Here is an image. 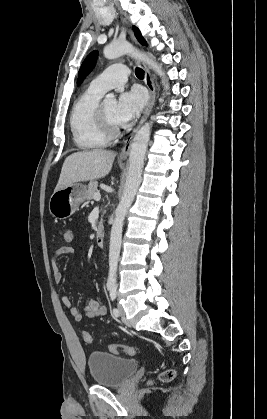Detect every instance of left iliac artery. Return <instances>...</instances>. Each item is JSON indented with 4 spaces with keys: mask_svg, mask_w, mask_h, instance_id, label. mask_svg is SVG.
I'll return each instance as SVG.
<instances>
[{
    "mask_svg": "<svg viewBox=\"0 0 267 419\" xmlns=\"http://www.w3.org/2000/svg\"><path fill=\"white\" fill-rule=\"evenodd\" d=\"M116 296H117L116 288L115 287L110 288V298H111V300L114 301L116 299ZM113 315L115 317H118L120 315L117 308H113Z\"/></svg>",
    "mask_w": 267,
    "mask_h": 419,
    "instance_id": "obj_1",
    "label": "left iliac artery"
}]
</instances>
